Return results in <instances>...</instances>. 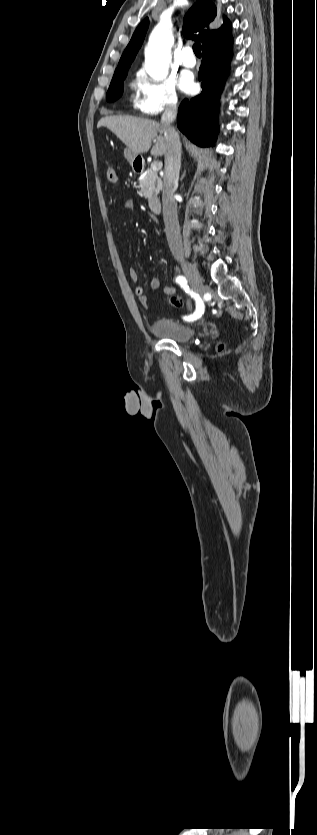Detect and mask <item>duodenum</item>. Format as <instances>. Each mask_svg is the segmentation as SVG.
Wrapping results in <instances>:
<instances>
[{
  "mask_svg": "<svg viewBox=\"0 0 317 835\" xmlns=\"http://www.w3.org/2000/svg\"><path fill=\"white\" fill-rule=\"evenodd\" d=\"M134 168L137 172H141L143 170V165L141 162H135ZM148 206L151 211L159 212L161 210V200L159 197H150L148 200Z\"/></svg>",
  "mask_w": 317,
  "mask_h": 835,
  "instance_id": "obj_1",
  "label": "duodenum"
}]
</instances>
